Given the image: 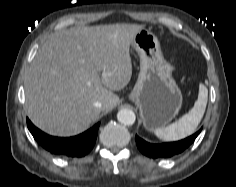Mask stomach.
<instances>
[{
  "label": "stomach",
  "instance_id": "stomach-1",
  "mask_svg": "<svg viewBox=\"0 0 236 187\" xmlns=\"http://www.w3.org/2000/svg\"><path fill=\"white\" fill-rule=\"evenodd\" d=\"M131 45L139 55L140 72L129 99L139 108L145 129L154 131L175 118L182 106V94L151 31L140 30Z\"/></svg>",
  "mask_w": 236,
  "mask_h": 187
}]
</instances>
